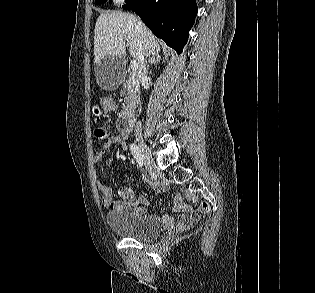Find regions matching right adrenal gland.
<instances>
[{"instance_id": "2a0ac1e0", "label": "right adrenal gland", "mask_w": 315, "mask_h": 293, "mask_svg": "<svg viewBox=\"0 0 315 293\" xmlns=\"http://www.w3.org/2000/svg\"><path fill=\"white\" fill-rule=\"evenodd\" d=\"M160 61V55H153L151 57H149L148 61H147V72L149 70V66L150 64H155V63H158Z\"/></svg>"}]
</instances>
